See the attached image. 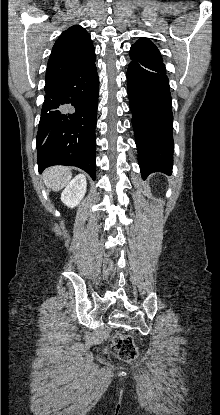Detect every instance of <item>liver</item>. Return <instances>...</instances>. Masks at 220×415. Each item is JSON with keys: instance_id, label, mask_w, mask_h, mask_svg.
I'll list each match as a JSON object with an SVG mask.
<instances>
[{"instance_id": "1", "label": "liver", "mask_w": 220, "mask_h": 415, "mask_svg": "<svg viewBox=\"0 0 220 415\" xmlns=\"http://www.w3.org/2000/svg\"><path fill=\"white\" fill-rule=\"evenodd\" d=\"M43 178L48 187L53 191H59L69 183L72 173L68 167L54 166L44 172Z\"/></svg>"}]
</instances>
